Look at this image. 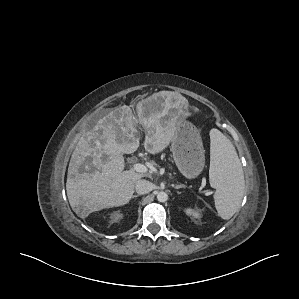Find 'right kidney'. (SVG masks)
I'll use <instances>...</instances> for the list:
<instances>
[{
  "label": "right kidney",
  "mask_w": 299,
  "mask_h": 299,
  "mask_svg": "<svg viewBox=\"0 0 299 299\" xmlns=\"http://www.w3.org/2000/svg\"><path fill=\"white\" fill-rule=\"evenodd\" d=\"M111 218L113 222H119L123 218V214L120 212H115L114 214H112Z\"/></svg>",
  "instance_id": "ca27d5eb"
}]
</instances>
